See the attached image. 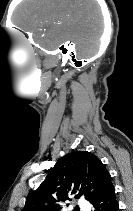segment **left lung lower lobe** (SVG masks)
I'll return each instance as SVG.
<instances>
[{"instance_id":"left-lung-lower-lobe-1","label":"left lung lower lobe","mask_w":133,"mask_h":211,"mask_svg":"<svg viewBox=\"0 0 133 211\" xmlns=\"http://www.w3.org/2000/svg\"><path fill=\"white\" fill-rule=\"evenodd\" d=\"M94 211H118L115 189L111 186L100 198L92 203Z\"/></svg>"}]
</instances>
